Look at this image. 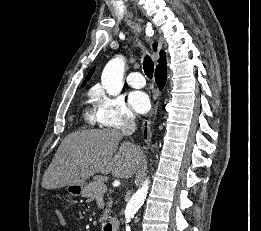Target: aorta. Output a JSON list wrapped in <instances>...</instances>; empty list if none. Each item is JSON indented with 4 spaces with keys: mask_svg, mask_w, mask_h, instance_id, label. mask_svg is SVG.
Instances as JSON below:
<instances>
[{
    "mask_svg": "<svg viewBox=\"0 0 261 231\" xmlns=\"http://www.w3.org/2000/svg\"><path fill=\"white\" fill-rule=\"evenodd\" d=\"M124 68L125 62L122 57H116L110 60L105 66L101 76V83L109 95L116 96L121 92L123 88ZM149 183L150 181L147 178L127 203L124 212L126 231H130V226L128 223L145 201L149 189Z\"/></svg>",
    "mask_w": 261,
    "mask_h": 231,
    "instance_id": "aorta-1",
    "label": "aorta"
}]
</instances>
